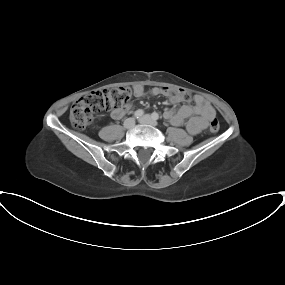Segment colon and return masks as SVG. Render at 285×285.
Listing matches in <instances>:
<instances>
[{
	"instance_id": "obj_1",
	"label": "colon",
	"mask_w": 285,
	"mask_h": 285,
	"mask_svg": "<svg viewBox=\"0 0 285 285\" xmlns=\"http://www.w3.org/2000/svg\"><path fill=\"white\" fill-rule=\"evenodd\" d=\"M164 90L171 92L168 88ZM172 93H178L186 102H193L194 95L184 90H176ZM131 90L128 87H118L112 89H102L93 91L79 100L70 108L69 119L73 127L82 130L89 126L96 114L123 106L130 99ZM209 129L216 133L220 129L219 121L214 118L210 121Z\"/></svg>"
}]
</instances>
